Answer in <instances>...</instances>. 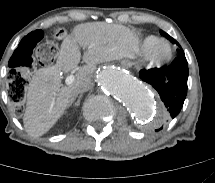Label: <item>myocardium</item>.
Here are the masks:
<instances>
[{
	"instance_id": "1",
	"label": "myocardium",
	"mask_w": 215,
	"mask_h": 183,
	"mask_svg": "<svg viewBox=\"0 0 215 183\" xmlns=\"http://www.w3.org/2000/svg\"><path fill=\"white\" fill-rule=\"evenodd\" d=\"M146 55L151 68H160L172 60L173 48L169 42L161 40Z\"/></svg>"
}]
</instances>
